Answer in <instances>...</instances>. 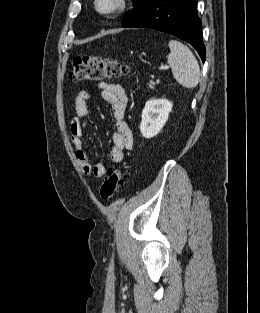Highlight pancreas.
Returning <instances> with one entry per match:
<instances>
[{
    "label": "pancreas",
    "mask_w": 260,
    "mask_h": 313,
    "mask_svg": "<svg viewBox=\"0 0 260 313\" xmlns=\"http://www.w3.org/2000/svg\"><path fill=\"white\" fill-rule=\"evenodd\" d=\"M157 83H159V80H157ZM154 82L153 81H150V83H149V87L151 88V89H153L154 88Z\"/></svg>",
    "instance_id": "obj_1"
}]
</instances>
